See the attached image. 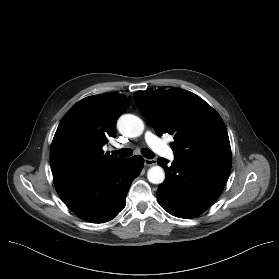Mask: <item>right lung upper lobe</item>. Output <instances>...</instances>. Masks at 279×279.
Masks as SVG:
<instances>
[{
  "mask_svg": "<svg viewBox=\"0 0 279 279\" xmlns=\"http://www.w3.org/2000/svg\"><path fill=\"white\" fill-rule=\"evenodd\" d=\"M131 97L101 94L77 102L62 118L54 135L50 164L55 186L67 184L106 170L121 161L104 154L102 147L116 133V120Z\"/></svg>",
  "mask_w": 279,
  "mask_h": 279,
  "instance_id": "right-lung-upper-lobe-1",
  "label": "right lung upper lobe"
}]
</instances>
